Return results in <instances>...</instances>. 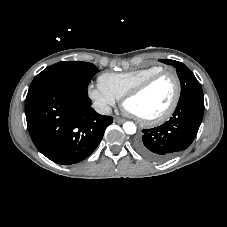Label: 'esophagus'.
I'll return each instance as SVG.
<instances>
[{"label": "esophagus", "instance_id": "esophagus-1", "mask_svg": "<svg viewBox=\"0 0 227 227\" xmlns=\"http://www.w3.org/2000/svg\"><path fill=\"white\" fill-rule=\"evenodd\" d=\"M114 121L117 122V123H123L125 121V119L120 118V117H115Z\"/></svg>", "mask_w": 227, "mask_h": 227}]
</instances>
